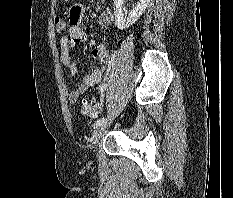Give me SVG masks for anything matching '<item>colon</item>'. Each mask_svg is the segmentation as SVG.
<instances>
[{
	"mask_svg": "<svg viewBox=\"0 0 233 198\" xmlns=\"http://www.w3.org/2000/svg\"><path fill=\"white\" fill-rule=\"evenodd\" d=\"M55 25H56L57 31H59V32H63L67 28L66 21L61 17L56 18ZM101 105H102V103H101V100L99 98H93L90 101L84 100L82 102L81 112L84 115H93L99 111V109L101 108Z\"/></svg>",
	"mask_w": 233,
	"mask_h": 198,
	"instance_id": "obj_1",
	"label": "colon"
}]
</instances>
